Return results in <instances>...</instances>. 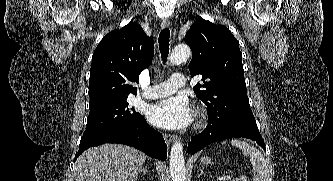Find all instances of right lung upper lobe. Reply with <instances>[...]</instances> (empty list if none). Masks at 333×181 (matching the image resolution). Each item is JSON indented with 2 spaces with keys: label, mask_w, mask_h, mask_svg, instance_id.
<instances>
[{
  "label": "right lung upper lobe",
  "mask_w": 333,
  "mask_h": 181,
  "mask_svg": "<svg viewBox=\"0 0 333 181\" xmlns=\"http://www.w3.org/2000/svg\"><path fill=\"white\" fill-rule=\"evenodd\" d=\"M154 55L153 38L142 27L129 23L108 33L96 47L90 71L89 108L126 99L139 75Z\"/></svg>",
  "instance_id": "cb5924a9"
}]
</instances>
